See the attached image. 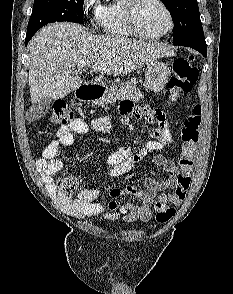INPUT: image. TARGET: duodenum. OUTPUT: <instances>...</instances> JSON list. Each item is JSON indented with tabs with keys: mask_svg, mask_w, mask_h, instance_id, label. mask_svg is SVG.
<instances>
[{
	"mask_svg": "<svg viewBox=\"0 0 233 294\" xmlns=\"http://www.w3.org/2000/svg\"><path fill=\"white\" fill-rule=\"evenodd\" d=\"M101 87L97 84L83 85L75 91L74 102L87 101L100 94Z\"/></svg>",
	"mask_w": 233,
	"mask_h": 294,
	"instance_id": "410a0bca",
	"label": "duodenum"
}]
</instances>
